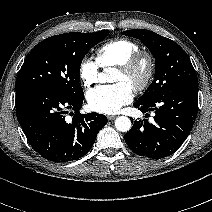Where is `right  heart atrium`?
I'll list each match as a JSON object with an SVG mask.
<instances>
[{"mask_svg":"<svg viewBox=\"0 0 212 212\" xmlns=\"http://www.w3.org/2000/svg\"><path fill=\"white\" fill-rule=\"evenodd\" d=\"M79 78L84 87L94 85L99 78V65L91 58H84L79 65Z\"/></svg>","mask_w":212,"mask_h":212,"instance_id":"1","label":"right heart atrium"}]
</instances>
